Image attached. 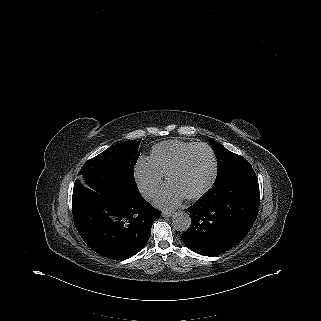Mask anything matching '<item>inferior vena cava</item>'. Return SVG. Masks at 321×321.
Wrapping results in <instances>:
<instances>
[{"label": "inferior vena cava", "mask_w": 321, "mask_h": 321, "mask_svg": "<svg viewBox=\"0 0 321 321\" xmlns=\"http://www.w3.org/2000/svg\"><path fill=\"white\" fill-rule=\"evenodd\" d=\"M142 197L147 201L152 199L155 195V191L152 188H145L140 191Z\"/></svg>", "instance_id": "inferior-vena-cava-1"}]
</instances>
